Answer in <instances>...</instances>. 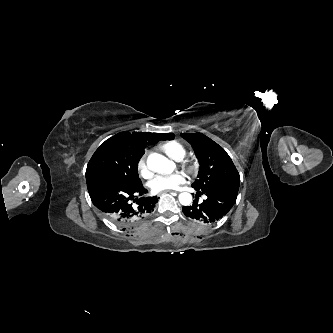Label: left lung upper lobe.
I'll use <instances>...</instances> for the list:
<instances>
[{
	"instance_id": "obj_1",
	"label": "left lung upper lobe",
	"mask_w": 333,
	"mask_h": 333,
	"mask_svg": "<svg viewBox=\"0 0 333 333\" xmlns=\"http://www.w3.org/2000/svg\"><path fill=\"white\" fill-rule=\"evenodd\" d=\"M181 136L188 141L199 160L198 179L192 184L201 192L213 190L239 189L240 176L226 151L202 133H183ZM228 199L218 200L219 204Z\"/></svg>"
}]
</instances>
